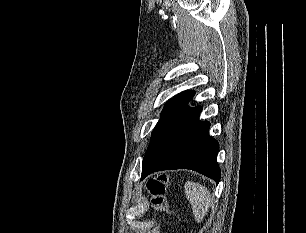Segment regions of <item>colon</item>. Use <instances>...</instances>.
Segmentation results:
<instances>
[{
  "mask_svg": "<svg viewBox=\"0 0 306 233\" xmlns=\"http://www.w3.org/2000/svg\"><path fill=\"white\" fill-rule=\"evenodd\" d=\"M166 186L167 178L165 175L155 176L146 182L152 208L158 212L174 215L175 213L169 208L164 198Z\"/></svg>",
  "mask_w": 306,
  "mask_h": 233,
  "instance_id": "colon-1",
  "label": "colon"
}]
</instances>
